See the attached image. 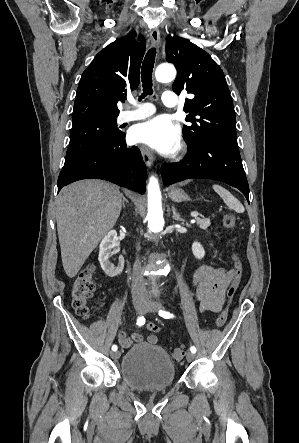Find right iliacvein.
Segmentation results:
<instances>
[{
    "mask_svg": "<svg viewBox=\"0 0 299 443\" xmlns=\"http://www.w3.org/2000/svg\"><path fill=\"white\" fill-rule=\"evenodd\" d=\"M134 308L138 313H143L146 308V305L141 301H135ZM111 356L114 360H117L120 357V352L119 351L113 352Z\"/></svg>",
    "mask_w": 299,
    "mask_h": 443,
    "instance_id": "63e3f726",
    "label": "right iliac vein"
}]
</instances>
